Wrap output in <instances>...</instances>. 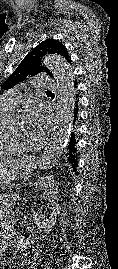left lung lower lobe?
<instances>
[{
	"label": "left lung lower lobe",
	"instance_id": "1",
	"mask_svg": "<svg viewBox=\"0 0 118 269\" xmlns=\"http://www.w3.org/2000/svg\"><path fill=\"white\" fill-rule=\"evenodd\" d=\"M77 85V82L75 83V87ZM78 94H75V107H74V111H73V115H74V122L76 121V117L78 114ZM76 145V140H75V134L74 132L71 133V138L68 142L67 145V152H66V157L68 160V163L73 167L74 171H76V167H77V148L75 147Z\"/></svg>",
	"mask_w": 118,
	"mask_h": 269
}]
</instances>
